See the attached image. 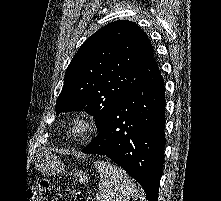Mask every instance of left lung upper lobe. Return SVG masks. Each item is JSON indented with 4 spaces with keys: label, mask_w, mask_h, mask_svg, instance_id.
Wrapping results in <instances>:
<instances>
[{
    "label": "left lung upper lobe",
    "mask_w": 221,
    "mask_h": 201,
    "mask_svg": "<svg viewBox=\"0 0 221 201\" xmlns=\"http://www.w3.org/2000/svg\"><path fill=\"white\" fill-rule=\"evenodd\" d=\"M157 69L153 47L137 24L109 23L81 45L67 67L56 112L84 109L99 131L119 101Z\"/></svg>",
    "instance_id": "obj_1"
}]
</instances>
